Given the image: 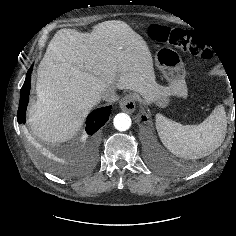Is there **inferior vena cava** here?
Instances as JSON below:
<instances>
[{"label": "inferior vena cava", "instance_id": "1", "mask_svg": "<svg viewBox=\"0 0 236 236\" xmlns=\"http://www.w3.org/2000/svg\"><path fill=\"white\" fill-rule=\"evenodd\" d=\"M101 98L107 102H115L119 99V96L114 91L110 90L104 92Z\"/></svg>", "mask_w": 236, "mask_h": 236}]
</instances>
